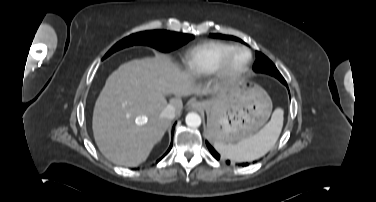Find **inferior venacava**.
I'll return each mask as SVG.
<instances>
[{
	"mask_svg": "<svg viewBox=\"0 0 376 202\" xmlns=\"http://www.w3.org/2000/svg\"><path fill=\"white\" fill-rule=\"evenodd\" d=\"M175 107L173 105H167V107L161 112L160 116L172 120L175 117Z\"/></svg>",
	"mask_w": 376,
	"mask_h": 202,
	"instance_id": "602c4592",
	"label": "inferior vena cava"
}]
</instances>
